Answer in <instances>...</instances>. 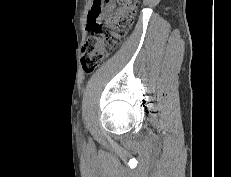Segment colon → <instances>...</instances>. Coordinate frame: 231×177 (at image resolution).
<instances>
[{
    "label": "colon",
    "mask_w": 231,
    "mask_h": 177,
    "mask_svg": "<svg viewBox=\"0 0 231 177\" xmlns=\"http://www.w3.org/2000/svg\"><path fill=\"white\" fill-rule=\"evenodd\" d=\"M97 0L88 19L89 36L82 48L81 63L85 72L99 67L130 28L138 5V0H115L119 7L101 23L98 21L100 3Z\"/></svg>",
    "instance_id": "obj_1"
}]
</instances>
